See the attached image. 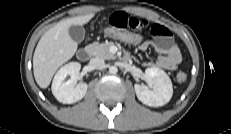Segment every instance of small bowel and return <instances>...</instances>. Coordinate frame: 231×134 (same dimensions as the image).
<instances>
[{
	"label": "small bowel",
	"mask_w": 231,
	"mask_h": 134,
	"mask_svg": "<svg viewBox=\"0 0 231 134\" xmlns=\"http://www.w3.org/2000/svg\"><path fill=\"white\" fill-rule=\"evenodd\" d=\"M109 26L135 32L145 31L153 37V42L146 41L139 46L141 51L153 48L159 54L154 62H146V67L175 70L181 63L180 49L173 42L170 30L162 24L142 20L138 16L127 12L117 11L109 17Z\"/></svg>",
	"instance_id": "small-bowel-1"
}]
</instances>
